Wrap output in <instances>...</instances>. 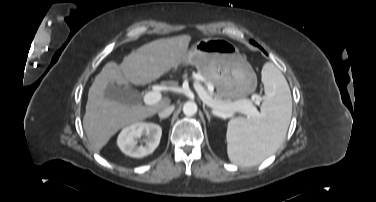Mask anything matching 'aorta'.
Returning a JSON list of instances; mask_svg holds the SVG:
<instances>
[{
  "label": "aorta",
  "instance_id": "obj_1",
  "mask_svg": "<svg viewBox=\"0 0 376 202\" xmlns=\"http://www.w3.org/2000/svg\"><path fill=\"white\" fill-rule=\"evenodd\" d=\"M198 107L197 104L193 101H188L183 106V113L186 116H193L197 113Z\"/></svg>",
  "mask_w": 376,
  "mask_h": 202
}]
</instances>
